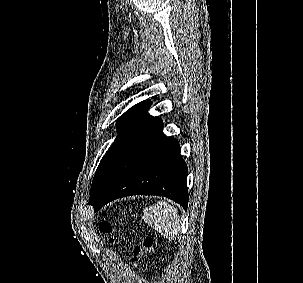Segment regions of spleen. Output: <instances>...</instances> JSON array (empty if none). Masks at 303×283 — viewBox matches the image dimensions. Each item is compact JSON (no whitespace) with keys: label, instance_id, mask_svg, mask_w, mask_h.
<instances>
[{"label":"spleen","instance_id":"obj_1","mask_svg":"<svg viewBox=\"0 0 303 283\" xmlns=\"http://www.w3.org/2000/svg\"><path fill=\"white\" fill-rule=\"evenodd\" d=\"M143 220L168 239H174L179 235L178 211L164 200L146 208L143 211Z\"/></svg>","mask_w":303,"mask_h":283}]
</instances>
